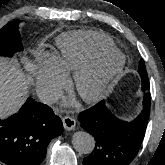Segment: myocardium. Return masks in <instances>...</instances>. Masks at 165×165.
<instances>
[{
  "label": "myocardium",
  "mask_w": 165,
  "mask_h": 165,
  "mask_svg": "<svg viewBox=\"0 0 165 165\" xmlns=\"http://www.w3.org/2000/svg\"><path fill=\"white\" fill-rule=\"evenodd\" d=\"M106 60H112L113 65L105 72L99 74L94 87L90 91H84L85 81L96 74ZM125 65L124 56L117 50H106L95 54L74 73L73 86L80 98L86 103H94L101 100L110 88L116 77L122 72Z\"/></svg>",
  "instance_id": "1"
}]
</instances>
